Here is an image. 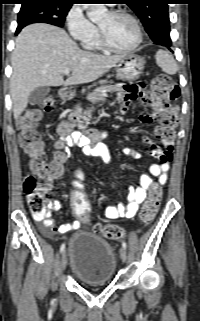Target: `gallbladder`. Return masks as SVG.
Listing matches in <instances>:
<instances>
[{"mask_svg": "<svg viewBox=\"0 0 200 321\" xmlns=\"http://www.w3.org/2000/svg\"><path fill=\"white\" fill-rule=\"evenodd\" d=\"M50 92V87L43 86L36 88L29 96L30 105L39 104Z\"/></svg>", "mask_w": 200, "mask_h": 321, "instance_id": "bac80fb5", "label": "gallbladder"}]
</instances>
